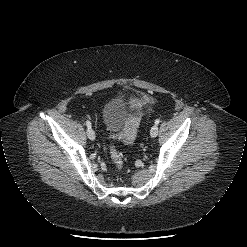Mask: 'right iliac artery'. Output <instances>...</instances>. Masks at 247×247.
I'll list each match as a JSON object with an SVG mask.
<instances>
[{
    "label": "right iliac artery",
    "mask_w": 247,
    "mask_h": 247,
    "mask_svg": "<svg viewBox=\"0 0 247 247\" xmlns=\"http://www.w3.org/2000/svg\"><path fill=\"white\" fill-rule=\"evenodd\" d=\"M86 125H87L88 129L91 128V123H90V121L87 120V121H86Z\"/></svg>",
    "instance_id": "right-iliac-artery-1"
}]
</instances>
